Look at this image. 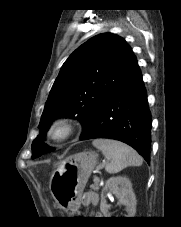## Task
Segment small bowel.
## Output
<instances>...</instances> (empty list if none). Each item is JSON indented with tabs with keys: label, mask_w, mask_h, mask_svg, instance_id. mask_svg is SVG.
Listing matches in <instances>:
<instances>
[{
	"label": "small bowel",
	"mask_w": 181,
	"mask_h": 227,
	"mask_svg": "<svg viewBox=\"0 0 181 227\" xmlns=\"http://www.w3.org/2000/svg\"><path fill=\"white\" fill-rule=\"evenodd\" d=\"M84 205H97L99 203V195L96 192H87L82 198ZM99 213H91V216L98 215Z\"/></svg>",
	"instance_id": "1"
}]
</instances>
